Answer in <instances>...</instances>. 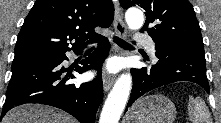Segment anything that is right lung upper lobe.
<instances>
[{
  "instance_id": "cb5924a9",
  "label": "right lung upper lobe",
  "mask_w": 221,
  "mask_h": 123,
  "mask_svg": "<svg viewBox=\"0 0 221 123\" xmlns=\"http://www.w3.org/2000/svg\"><path fill=\"white\" fill-rule=\"evenodd\" d=\"M111 0H36L26 17L15 46V55L65 54L71 48L82 50L87 42L102 36L94 31L113 21Z\"/></svg>"
}]
</instances>
